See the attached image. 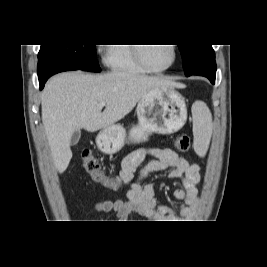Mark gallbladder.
<instances>
[{
	"label": "gallbladder",
	"instance_id": "obj_1",
	"mask_svg": "<svg viewBox=\"0 0 267 267\" xmlns=\"http://www.w3.org/2000/svg\"><path fill=\"white\" fill-rule=\"evenodd\" d=\"M80 137H81L80 130L74 131L72 136H71L70 144L72 146L76 145L79 142Z\"/></svg>",
	"mask_w": 267,
	"mask_h": 267
}]
</instances>
